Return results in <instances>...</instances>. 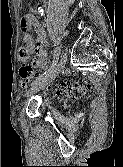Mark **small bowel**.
Returning a JSON list of instances; mask_svg holds the SVG:
<instances>
[{
  "label": "small bowel",
  "mask_w": 123,
  "mask_h": 167,
  "mask_svg": "<svg viewBox=\"0 0 123 167\" xmlns=\"http://www.w3.org/2000/svg\"><path fill=\"white\" fill-rule=\"evenodd\" d=\"M20 26L23 29L33 27L36 34L37 40L34 41L31 34L27 33V30H22L23 37L22 41L26 44L27 49L34 57L31 61L34 67H47L46 63V47L49 43V38L43 27L37 22V20L30 14L25 15L20 22ZM25 87V84H23Z\"/></svg>",
  "instance_id": "1"
}]
</instances>
